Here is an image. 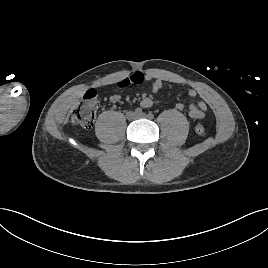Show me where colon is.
Returning <instances> with one entry per match:
<instances>
[{
  "label": "colon",
  "mask_w": 268,
  "mask_h": 268,
  "mask_svg": "<svg viewBox=\"0 0 268 268\" xmlns=\"http://www.w3.org/2000/svg\"><path fill=\"white\" fill-rule=\"evenodd\" d=\"M128 83L121 84L122 87L127 86ZM98 107V98L95 90H88L79 105H77L71 112V120L74 124L83 129H90L93 126L96 110ZM198 136L205 134V127L203 124H197L194 128Z\"/></svg>",
  "instance_id": "obj_1"
}]
</instances>
